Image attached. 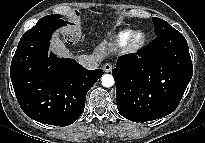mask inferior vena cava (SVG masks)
<instances>
[{
  "label": "inferior vena cava",
  "mask_w": 205,
  "mask_h": 143,
  "mask_svg": "<svg viewBox=\"0 0 205 143\" xmlns=\"http://www.w3.org/2000/svg\"><path fill=\"white\" fill-rule=\"evenodd\" d=\"M78 62L88 70H95L98 68L99 59L93 55H81Z\"/></svg>",
  "instance_id": "1"
}]
</instances>
